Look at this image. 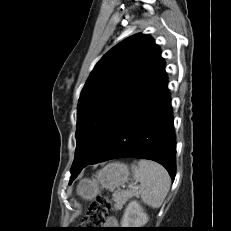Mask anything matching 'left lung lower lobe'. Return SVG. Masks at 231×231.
Segmentation results:
<instances>
[{"instance_id": "1", "label": "left lung lower lobe", "mask_w": 231, "mask_h": 231, "mask_svg": "<svg viewBox=\"0 0 231 231\" xmlns=\"http://www.w3.org/2000/svg\"><path fill=\"white\" fill-rule=\"evenodd\" d=\"M175 152L171 98L165 61L160 57L113 118L86 163L71 171L70 183L87 165L120 157L154 160L174 180Z\"/></svg>"}]
</instances>
